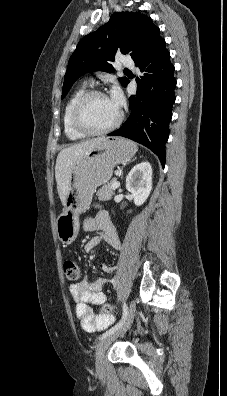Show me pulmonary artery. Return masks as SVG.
<instances>
[{"mask_svg": "<svg viewBox=\"0 0 227 396\" xmlns=\"http://www.w3.org/2000/svg\"><path fill=\"white\" fill-rule=\"evenodd\" d=\"M122 64L126 67H134V61L128 57H126L122 60Z\"/></svg>", "mask_w": 227, "mask_h": 396, "instance_id": "e3ab8cb5", "label": "pulmonary artery"}]
</instances>
